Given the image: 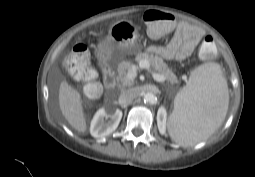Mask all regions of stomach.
I'll return each mask as SVG.
<instances>
[{
    "mask_svg": "<svg viewBox=\"0 0 255 177\" xmlns=\"http://www.w3.org/2000/svg\"><path fill=\"white\" fill-rule=\"evenodd\" d=\"M138 28L128 20H119L112 24L107 37L99 46V53L104 60L120 59L140 51Z\"/></svg>",
    "mask_w": 255,
    "mask_h": 177,
    "instance_id": "stomach-1",
    "label": "stomach"
}]
</instances>
